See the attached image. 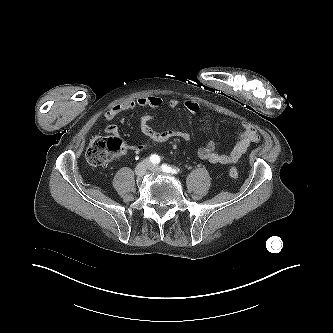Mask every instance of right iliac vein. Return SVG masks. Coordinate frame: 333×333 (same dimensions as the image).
Segmentation results:
<instances>
[{
  "instance_id": "63e3f726",
  "label": "right iliac vein",
  "mask_w": 333,
  "mask_h": 333,
  "mask_svg": "<svg viewBox=\"0 0 333 333\" xmlns=\"http://www.w3.org/2000/svg\"><path fill=\"white\" fill-rule=\"evenodd\" d=\"M151 164L148 159L141 161L135 168V175L137 177H142L147 170L150 168Z\"/></svg>"
}]
</instances>
